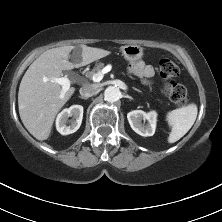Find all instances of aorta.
Returning a JSON list of instances; mask_svg holds the SVG:
<instances>
[{
  "mask_svg": "<svg viewBox=\"0 0 222 222\" xmlns=\"http://www.w3.org/2000/svg\"><path fill=\"white\" fill-rule=\"evenodd\" d=\"M120 95H121V92L119 88L114 87V86H109L104 91V99L110 103L116 102L120 98Z\"/></svg>",
  "mask_w": 222,
  "mask_h": 222,
  "instance_id": "1",
  "label": "aorta"
}]
</instances>
